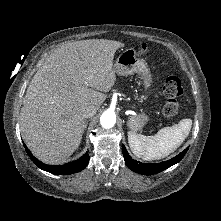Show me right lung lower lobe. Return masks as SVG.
<instances>
[{
  "label": "right lung lower lobe",
  "mask_w": 221,
  "mask_h": 221,
  "mask_svg": "<svg viewBox=\"0 0 221 221\" xmlns=\"http://www.w3.org/2000/svg\"><path fill=\"white\" fill-rule=\"evenodd\" d=\"M24 147L26 149V152L30 156L31 160L42 170H45L47 172H50L52 174L56 175H69L73 173H77L81 170H83L88 162H89V155L88 153H85L82 157H80L78 160L72 161L70 163L64 164V165H47L36 159L31 152L26 148L25 144Z\"/></svg>",
  "instance_id": "right-lung-lower-lobe-1"
}]
</instances>
